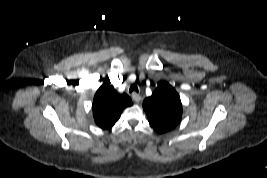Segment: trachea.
Here are the masks:
<instances>
[{"label":"trachea","instance_id":"3493384b","mask_svg":"<svg viewBox=\"0 0 267 178\" xmlns=\"http://www.w3.org/2000/svg\"><path fill=\"white\" fill-rule=\"evenodd\" d=\"M129 91H130V93H131V92H137V93H138V87H137V85H136V84H133V85L130 87Z\"/></svg>","mask_w":267,"mask_h":178}]
</instances>
